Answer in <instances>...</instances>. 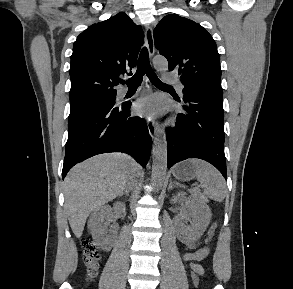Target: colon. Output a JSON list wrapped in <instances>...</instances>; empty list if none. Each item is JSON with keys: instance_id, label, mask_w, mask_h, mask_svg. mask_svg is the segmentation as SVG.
Segmentation results:
<instances>
[{"instance_id": "obj_1", "label": "colon", "mask_w": 293, "mask_h": 289, "mask_svg": "<svg viewBox=\"0 0 293 289\" xmlns=\"http://www.w3.org/2000/svg\"><path fill=\"white\" fill-rule=\"evenodd\" d=\"M217 229V223H214L207 235V241H209L215 231ZM82 247H83V261L86 267V278L88 281H92L98 272L99 268V262L101 259V254L99 249L96 247V245L90 240V239H84L82 241ZM193 282L195 285L198 284L199 279L203 276V269L199 265H195L193 268Z\"/></svg>"}]
</instances>
